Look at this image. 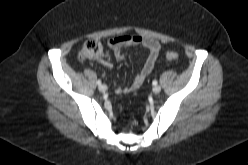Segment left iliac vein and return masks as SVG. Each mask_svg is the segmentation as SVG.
<instances>
[{"label": "left iliac vein", "mask_w": 248, "mask_h": 165, "mask_svg": "<svg viewBox=\"0 0 248 165\" xmlns=\"http://www.w3.org/2000/svg\"><path fill=\"white\" fill-rule=\"evenodd\" d=\"M153 93L158 94L161 92V87L160 86H154L152 89Z\"/></svg>", "instance_id": "obj_1"}]
</instances>
